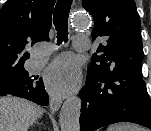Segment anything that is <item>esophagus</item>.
Returning a JSON list of instances; mask_svg holds the SVG:
<instances>
[{
    "instance_id": "obj_1",
    "label": "esophagus",
    "mask_w": 151,
    "mask_h": 131,
    "mask_svg": "<svg viewBox=\"0 0 151 131\" xmlns=\"http://www.w3.org/2000/svg\"><path fill=\"white\" fill-rule=\"evenodd\" d=\"M62 104V98L58 96H54L50 99V108L53 111H57Z\"/></svg>"
}]
</instances>
